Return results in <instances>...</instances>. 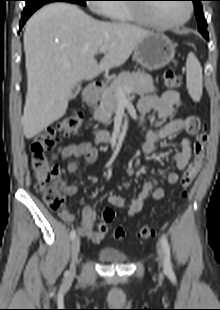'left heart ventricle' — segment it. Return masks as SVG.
<instances>
[{
    "label": "left heart ventricle",
    "instance_id": "b2bd125f",
    "mask_svg": "<svg viewBox=\"0 0 220 310\" xmlns=\"http://www.w3.org/2000/svg\"><path fill=\"white\" fill-rule=\"evenodd\" d=\"M149 10L158 19L170 23L181 20L187 13L185 3L159 4Z\"/></svg>",
    "mask_w": 220,
    "mask_h": 310
}]
</instances>
